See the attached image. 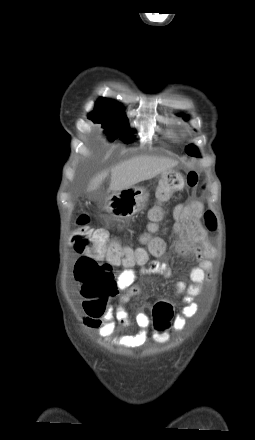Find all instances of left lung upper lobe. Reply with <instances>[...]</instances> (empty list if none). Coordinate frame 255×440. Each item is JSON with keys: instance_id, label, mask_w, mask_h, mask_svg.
I'll use <instances>...</instances> for the list:
<instances>
[{"instance_id": "5c2ea615", "label": "left lung upper lobe", "mask_w": 255, "mask_h": 440, "mask_svg": "<svg viewBox=\"0 0 255 440\" xmlns=\"http://www.w3.org/2000/svg\"><path fill=\"white\" fill-rule=\"evenodd\" d=\"M183 119H184V120H188V117H187L186 115H183ZM186 152H187V154L190 155V156L200 157V154H199V152H198L197 147L194 146V145H192V144L189 145V146L186 148Z\"/></svg>"}]
</instances>
